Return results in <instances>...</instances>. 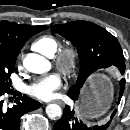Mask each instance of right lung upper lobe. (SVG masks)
Instances as JSON below:
<instances>
[{"instance_id": "1", "label": "right lung upper lobe", "mask_w": 130, "mask_h": 130, "mask_svg": "<svg viewBox=\"0 0 130 130\" xmlns=\"http://www.w3.org/2000/svg\"><path fill=\"white\" fill-rule=\"evenodd\" d=\"M46 29V26H28L14 22L0 21V46H5L19 53L24 43L35 32Z\"/></svg>"}]
</instances>
